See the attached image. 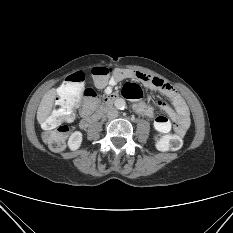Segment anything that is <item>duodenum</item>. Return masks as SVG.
Listing matches in <instances>:
<instances>
[{
    "label": "duodenum",
    "mask_w": 233,
    "mask_h": 233,
    "mask_svg": "<svg viewBox=\"0 0 233 233\" xmlns=\"http://www.w3.org/2000/svg\"><path fill=\"white\" fill-rule=\"evenodd\" d=\"M118 98V95L115 93H112L108 96H106V98L104 99L102 105L100 106V108L90 117L88 118H84L81 121V127L86 128L88 127L92 122H94L96 119H98L102 113H104L105 111H107L111 105L113 104V102Z\"/></svg>",
    "instance_id": "obj_1"
}]
</instances>
